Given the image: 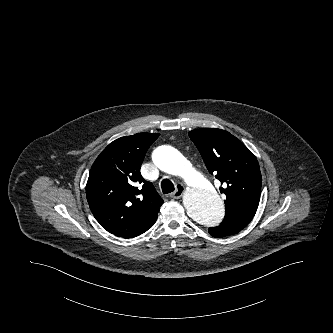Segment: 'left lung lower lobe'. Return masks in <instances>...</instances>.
Wrapping results in <instances>:
<instances>
[{
  "instance_id": "obj_1",
  "label": "left lung lower lobe",
  "mask_w": 333,
  "mask_h": 333,
  "mask_svg": "<svg viewBox=\"0 0 333 333\" xmlns=\"http://www.w3.org/2000/svg\"><path fill=\"white\" fill-rule=\"evenodd\" d=\"M246 226L237 224L236 222L226 221L223 222L217 226V227H211L208 229L209 234H211L214 237H224L236 234L240 232L243 228Z\"/></svg>"
}]
</instances>
